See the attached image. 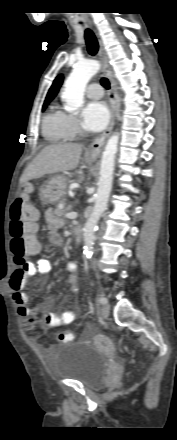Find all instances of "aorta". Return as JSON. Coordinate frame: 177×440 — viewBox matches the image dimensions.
Segmentation results:
<instances>
[{
	"label": "aorta",
	"instance_id": "762f6f07",
	"mask_svg": "<svg viewBox=\"0 0 177 440\" xmlns=\"http://www.w3.org/2000/svg\"><path fill=\"white\" fill-rule=\"evenodd\" d=\"M100 64L95 60L78 62L65 81L63 99L66 102V111L75 112L83 105L84 92L89 80L99 71ZM119 136L114 133L107 141L102 155L100 179L93 211L84 227V254L91 258L98 221L107 208L109 195L112 189L115 154L117 152Z\"/></svg>",
	"mask_w": 177,
	"mask_h": 440
}]
</instances>
